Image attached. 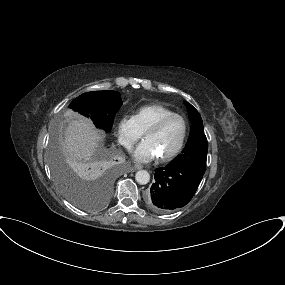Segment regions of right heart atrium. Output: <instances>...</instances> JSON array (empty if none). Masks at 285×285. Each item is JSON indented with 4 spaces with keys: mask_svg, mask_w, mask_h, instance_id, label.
I'll use <instances>...</instances> for the list:
<instances>
[{
    "mask_svg": "<svg viewBox=\"0 0 285 285\" xmlns=\"http://www.w3.org/2000/svg\"><path fill=\"white\" fill-rule=\"evenodd\" d=\"M116 134L122 146L131 149L134 143L142 136L133 116H122L116 125Z\"/></svg>",
    "mask_w": 285,
    "mask_h": 285,
    "instance_id": "d8ad5b80",
    "label": "right heart atrium"
}]
</instances>
